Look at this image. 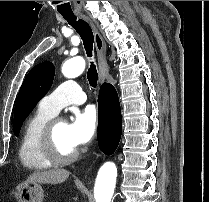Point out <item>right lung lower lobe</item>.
<instances>
[{
  "label": "right lung lower lobe",
  "instance_id": "right-lung-lower-lobe-1",
  "mask_svg": "<svg viewBox=\"0 0 209 202\" xmlns=\"http://www.w3.org/2000/svg\"><path fill=\"white\" fill-rule=\"evenodd\" d=\"M98 144L106 155L116 150L122 132V117L119 99L115 88L104 83L98 96Z\"/></svg>",
  "mask_w": 209,
  "mask_h": 202
}]
</instances>
